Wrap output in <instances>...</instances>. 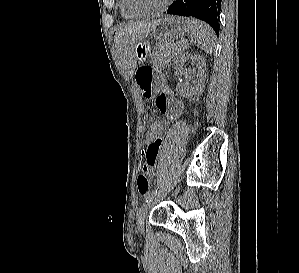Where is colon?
Listing matches in <instances>:
<instances>
[{"mask_svg":"<svg viewBox=\"0 0 299 273\" xmlns=\"http://www.w3.org/2000/svg\"><path fill=\"white\" fill-rule=\"evenodd\" d=\"M166 125H167L166 121L160 118L154 119L148 128L146 134V142H152L162 137ZM137 188L141 195H147L150 191V183L147 176L144 173L138 176Z\"/></svg>","mask_w":299,"mask_h":273,"instance_id":"5ec220e1","label":"colon"}]
</instances>
